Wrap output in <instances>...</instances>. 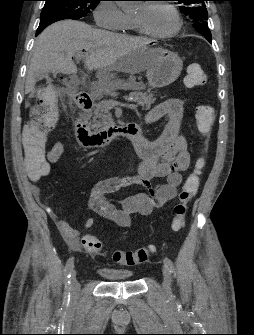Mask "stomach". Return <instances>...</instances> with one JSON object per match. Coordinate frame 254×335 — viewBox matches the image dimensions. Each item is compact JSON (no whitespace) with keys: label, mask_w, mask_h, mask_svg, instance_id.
<instances>
[{"label":"stomach","mask_w":254,"mask_h":335,"mask_svg":"<svg viewBox=\"0 0 254 335\" xmlns=\"http://www.w3.org/2000/svg\"><path fill=\"white\" fill-rule=\"evenodd\" d=\"M150 53L153 63L146 72L148 85L151 88H163L176 81L183 68L181 58L163 48L150 49Z\"/></svg>","instance_id":"1"}]
</instances>
